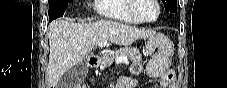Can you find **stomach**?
Segmentation results:
<instances>
[{"instance_id": "0dacf381", "label": "stomach", "mask_w": 227, "mask_h": 88, "mask_svg": "<svg viewBox=\"0 0 227 88\" xmlns=\"http://www.w3.org/2000/svg\"><path fill=\"white\" fill-rule=\"evenodd\" d=\"M146 53L151 57L146 72L151 77L164 75L169 69L174 53L172 41L162 33L147 38Z\"/></svg>"}]
</instances>
